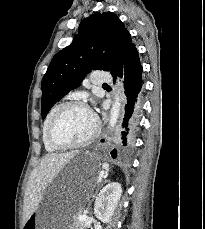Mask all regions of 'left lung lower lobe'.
Here are the masks:
<instances>
[{
  "instance_id": "left-lung-lower-lobe-1",
  "label": "left lung lower lobe",
  "mask_w": 205,
  "mask_h": 229,
  "mask_svg": "<svg viewBox=\"0 0 205 229\" xmlns=\"http://www.w3.org/2000/svg\"><path fill=\"white\" fill-rule=\"evenodd\" d=\"M142 66L135 44H131L121 55L118 65L112 76H124V88L127 103L121 126V137L118 140V149L111 152L113 158L127 155L134 145L135 134L138 129L139 117L142 108Z\"/></svg>"
}]
</instances>
